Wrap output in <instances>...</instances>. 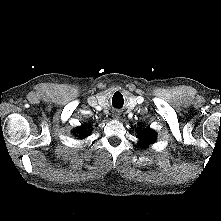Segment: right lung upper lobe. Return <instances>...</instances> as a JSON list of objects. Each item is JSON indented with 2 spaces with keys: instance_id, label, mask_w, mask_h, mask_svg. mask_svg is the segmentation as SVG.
Listing matches in <instances>:
<instances>
[{
  "instance_id": "cb5924a9",
  "label": "right lung upper lobe",
  "mask_w": 221,
  "mask_h": 221,
  "mask_svg": "<svg viewBox=\"0 0 221 221\" xmlns=\"http://www.w3.org/2000/svg\"><path fill=\"white\" fill-rule=\"evenodd\" d=\"M75 134L78 133L79 136L78 138H85L86 136H88V134L90 133V128H86V127H83V128H78L76 129V131L74 132Z\"/></svg>"
}]
</instances>
